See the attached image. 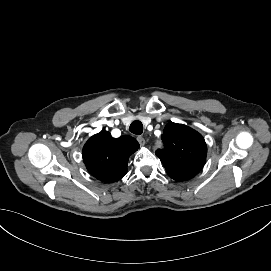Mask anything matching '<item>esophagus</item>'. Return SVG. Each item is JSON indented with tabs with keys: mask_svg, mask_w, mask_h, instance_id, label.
<instances>
[{
	"mask_svg": "<svg viewBox=\"0 0 271 271\" xmlns=\"http://www.w3.org/2000/svg\"><path fill=\"white\" fill-rule=\"evenodd\" d=\"M137 141L141 146H144L145 143L147 142V137L145 135H140L137 137Z\"/></svg>",
	"mask_w": 271,
	"mask_h": 271,
	"instance_id": "esophagus-1",
	"label": "esophagus"
}]
</instances>
